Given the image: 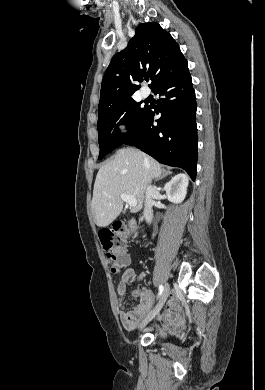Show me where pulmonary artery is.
Instances as JSON below:
<instances>
[{
  "label": "pulmonary artery",
  "instance_id": "obj_1",
  "mask_svg": "<svg viewBox=\"0 0 265 390\" xmlns=\"http://www.w3.org/2000/svg\"><path fill=\"white\" fill-rule=\"evenodd\" d=\"M149 94H150L149 89H147V88H145V87H143V88L141 89V95H142L143 98L148 97Z\"/></svg>",
  "mask_w": 265,
  "mask_h": 390
}]
</instances>
